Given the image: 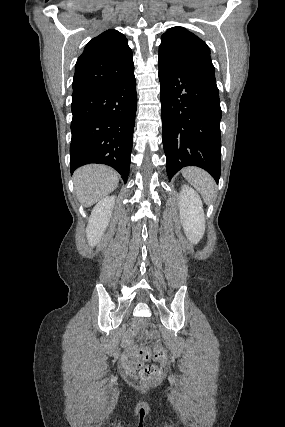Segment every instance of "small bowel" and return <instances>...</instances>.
Masks as SVG:
<instances>
[{
    "label": "small bowel",
    "instance_id": "1",
    "mask_svg": "<svg viewBox=\"0 0 285 427\" xmlns=\"http://www.w3.org/2000/svg\"><path fill=\"white\" fill-rule=\"evenodd\" d=\"M122 363H123V365L128 369V370H130V372H132V370L133 369H135V365H136V362L132 359V358H130L128 355H123L122 356Z\"/></svg>",
    "mask_w": 285,
    "mask_h": 427
}]
</instances>
